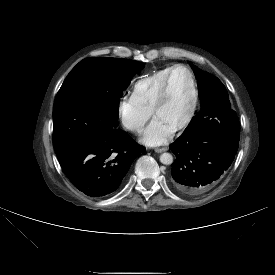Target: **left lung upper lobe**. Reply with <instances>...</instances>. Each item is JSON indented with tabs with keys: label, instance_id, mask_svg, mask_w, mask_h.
Here are the masks:
<instances>
[{
	"label": "left lung upper lobe",
	"instance_id": "5c2ea615",
	"mask_svg": "<svg viewBox=\"0 0 275 275\" xmlns=\"http://www.w3.org/2000/svg\"><path fill=\"white\" fill-rule=\"evenodd\" d=\"M192 69L197 78L201 110L190 121L182 135L193 136L208 130H224L239 138L240 125L237 114L231 109L228 92L221 81L196 66Z\"/></svg>",
	"mask_w": 275,
	"mask_h": 275
}]
</instances>
